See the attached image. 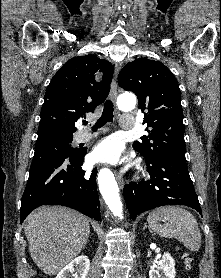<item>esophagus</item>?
Listing matches in <instances>:
<instances>
[{
    "label": "esophagus",
    "mask_w": 221,
    "mask_h": 278,
    "mask_svg": "<svg viewBox=\"0 0 221 278\" xmlns=\"http://www.w3.org/2000/svg\"><path fill=\"white\" fill-rule=\"evenodd\" d=\"M118 73H119V67L117 65H115L114 77H113V81L111 83V91H110V97L113 101H115L117 98V81H116V79H117ZM115 175H116V179H117L119 186L121 188H123L124 181H123L122 175H120L118 172H115Z\"/></svg>",
    "instance_id": "obj_1"
}]
</instances>
